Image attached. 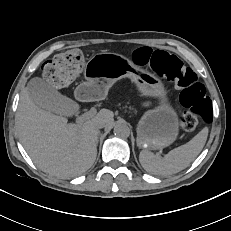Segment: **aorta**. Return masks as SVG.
<instances>
[{"label": "aorta", "mask_w": 231, "mask_h": 231, "mask_svg": "<svg viewBox=\"0 0 231 231\" xmlns=\"http://www.w3.org/2000/svg\"><path fill=\"white\" fill-rule=\"evenodd\" d=\"M114 134L118 138L126 139L130 135V129L126 124H117L114 127Z\"/></svg>", "instance_id": "1"}]
</instances>
